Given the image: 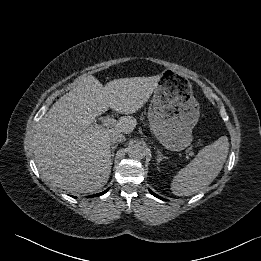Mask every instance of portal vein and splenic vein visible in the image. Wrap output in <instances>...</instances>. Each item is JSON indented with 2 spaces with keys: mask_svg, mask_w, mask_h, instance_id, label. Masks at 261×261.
<instances>
[{
  "mask_svg": "<svg viewBox=\"0 0 261 261\" xmlns=\"http://www.w3.org/2000/svg\"><path fill=\"white\" fill-rule=\"evenodd\" d=\"M104 126H106V127H113V126H115L116 125V120L114 119V118H107L106 120H104ZM187 152V154L189 155V156H194V152L193 151H191V150H187L186 151Z\"/></svg>",
  "mask_w": 261,
  "mask_h": 261,
  "instance_id": "1",
  "label": "portal vein and splenic vein"
}]
</instances>
